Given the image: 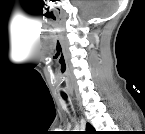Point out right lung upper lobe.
Wrapping results in <instances>:
<instances>
[{"label": "right lung upper lobe", "mask_w": 145, "mask_h": 134, "mask_svg": "<svg viewBox=\"0 0 145 134\" xmlns=\"http://www.w3.org/2000/svg\"><path fill=\"white\" fill-rule=\"evenodd\" d=\"M86 133H88V134H95V129L89 123L86 124Z\"/></svg>", "instance_id": "obj_1"}]
</instances>
